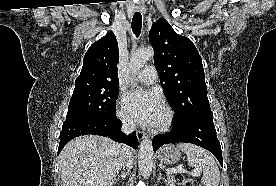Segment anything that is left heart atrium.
Returning a JSON list of instances; mask_svg holds the SVG:
<instances>
[{"label":"left heart atrium","instance_id":"obj_1","mask_svg":"<svg viewBox=\"0 0 276 186\" xmlns=\"http://www.w3.org/2000/svg\"><path fill=\"white\" fill-rule=\"evenodd\" d=\"M126 110L139 124L152 126L162 110V104L160 98L151 91L133 90L127 94Z\"/></svg>","mask_w":276,"mask_h":186}]
</instances>
